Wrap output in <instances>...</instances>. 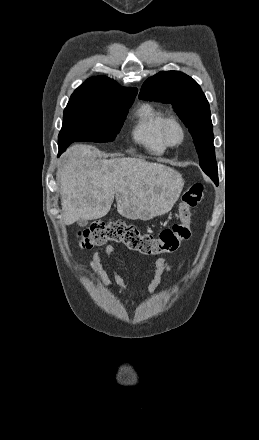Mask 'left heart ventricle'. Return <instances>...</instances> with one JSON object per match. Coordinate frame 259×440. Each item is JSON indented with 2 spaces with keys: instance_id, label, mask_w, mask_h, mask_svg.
I'll list each match as a JSON object with an SVG mask.
<instances>
[{
  "instance_id": "left-heart-ventricle-1",
  "label": "left heart ventricle",
  "mask_w": 259,
  "mask_h": 440,
  "mask_svg": "<svg viewBox=\"0 0 259 440\" xmlns=\"http://www.w3.org/2000/svg\"><path fill=\"white\" fill-rule=\"evenodd\" d=\"M169 137L171 141L177 142L180 139V131L177 127L172 126L169 130Z\"/></svg>"
}]
</instances>
